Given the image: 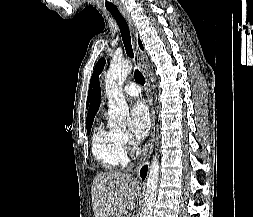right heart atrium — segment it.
<instances>
[{
    "label": "right heart atrium",
    "instance_id": "obj_1",
    "mask_svg": "<svg viewBox=\"0 0 253 217\" xmlns=\"http://www.w3.org/2000/svg\"><path fill=\"white\" fill-rule=\"evenodd\" d=\"M118 139L125 149V151H129L130 153L135 152L136 150V143L132 139L131 135L126 131H119L118 132Z\"/></svg>",
    "mask_w": 253,
    "mask_h": 217
}]
</instances>
